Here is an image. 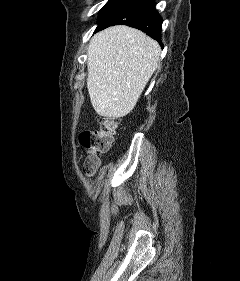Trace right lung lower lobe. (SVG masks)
<instances>
[{"label": "right lung lower lobe", "instance_id": "obj_1", "mask_svg": "<svg viewBox=\"0 0 240 281\" xmlns=\"http://www.w3.org/2000/svg\"><path fill=\"white\" fill-rule=\"evenodd\" d=\"M162 22V18L155 9V2L151 0H122L99 23L96 31L123 24L137 28L160 41Z\"/></svg>", "mask_w": 240, "mask_h": 281}]
</instances>
